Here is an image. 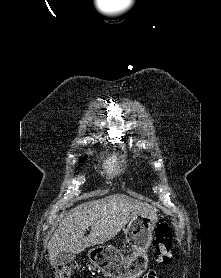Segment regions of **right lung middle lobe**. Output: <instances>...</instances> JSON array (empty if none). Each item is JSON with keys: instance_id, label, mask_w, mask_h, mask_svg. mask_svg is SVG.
Segmentation results:
<instances>
[{"instance_id": "dd1d6c3e", "label": "right lung middle lobe", "mask_w": 221, "mask_h": 278, "mask_svg": "<svg viewBox=\"0 0 221 278\" xmlns=\"http://www.w3.org/2000/svg\"><path fill=\"white\" fill-rule=\"evenodd\" d=\"M86 158H87V156H85V157L81 160V162L84 161Z\"/></svg>"}]
</instances>
